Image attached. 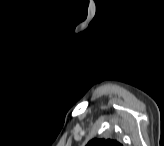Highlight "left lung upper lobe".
Here are the masks:
<instances>
[{
  "instance_id": "left-lung-upper-lobe-1",
  "label": "left lung upper lobe",
  "mask_w": 164,
  "mask_h": 146,
  "mask_svg": "<svg viewBox=\"0 0 164 146\" xmlns=\"http://www.w3.org/2000/svg\"><path fill=\"white\" fill-rule=\"evenodd\" d=\"M87 146H121V144L115 140L112 139H97L94 138L89 143Z\"/></svg>"
}]
</instances>
